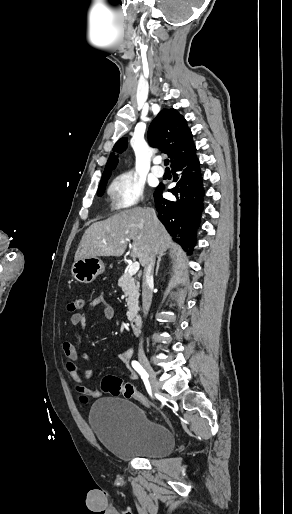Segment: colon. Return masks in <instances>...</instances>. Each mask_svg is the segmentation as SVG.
I'll use <instances>...</instances> for the list:
<instances>
[{
    "instance_id": "obj_1",
    "label": "colon",
    "mask_w": 292,
    "mask_h": 514,
    "mask_svg": "<svg viewBox=\"0 0 292 514\" xmlns=\"http://www.w3.org/2000/svg\"><path fill=\"white\" fill-rule=\"evenodd\" d=\"M85 299L81 295H77L73 301L68 304L69 312H77L83 309ZM101 389L105 392L111 393L114 397L123 396L126 399H134L136 402L151 407L152 401L136 391L134 384H126L122 379L114 375H105L100 382Z\"/></svg>"
}]
</instances>
